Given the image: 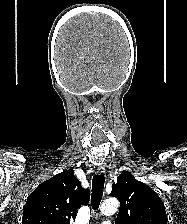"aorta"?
I'll return each instance as SVG.
<instances>
[{
	"instance_id": "762f6f07",
	"label": "aorta",
	"mask_w": 187,
	"mask_h": 224,
	"mask_svg": "<svg viewBox=\"0 0 187 224\" xmlns=\"http://www.w3.org/2000/svg\"><path fill=\"white\" fill-rule=\"evenodd\" d=\"M119 208V202L116 198H110L105 200L100 206V211L103 215L109 216L117 212Z\"/></svg>"
}]
</instances>
